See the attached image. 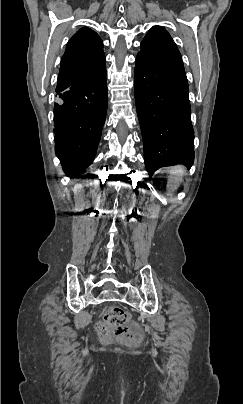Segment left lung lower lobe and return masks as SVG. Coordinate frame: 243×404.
<instances>
[{
    "mask_svg": "<svg viewBox=\"0 0 243 404\" xmlns=\"http://www.w3.org/2000/svg\"><path fill=\"white\" fill-rule=\"evenodd\" d=\"M135 102L149 176L159 168L194 162V130L184 70L137 55Z\"/></svg>",
    "mask_w": 243,
    "mask_h": 404,
    "instance_id": "left-lung-lower-lobe-1",
    "label": "left lung lower lobe"
}]
</instances>
